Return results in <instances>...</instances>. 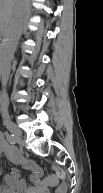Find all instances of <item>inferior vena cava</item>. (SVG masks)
I'll return each instance as SVG.
<instances>
[{"label": "inferior vena cava", "instance_id": "602c4592", "mask_svg": "<svg viewBox=\"0 0 103 193\" xmlns=\"http://www.w3.org/2000/svg\"><path fill=\"white\" fill-rule=\"evenodd\" d=\"M21 32V20L19 13L16 14L15 19L10 27L8 35L5 37L1 44L0 50V69L2 76V86L6 87V84L10 75L11 62L13 60V55L17 47V43ZM8 105L9 99L4 91L2 97V115L8 116Z\"/></svg>", "mask_w": 103, "mask_h": 193}]
</instances>
